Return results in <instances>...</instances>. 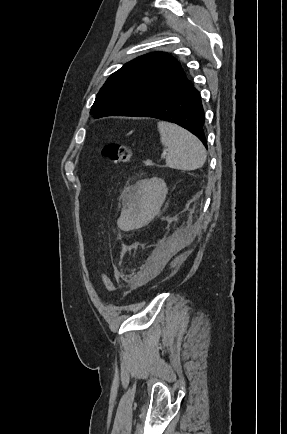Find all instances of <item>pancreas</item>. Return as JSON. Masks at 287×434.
Returning <instances> with one entry per match:
<instances>
[{
	"label": "pancreas",
	"mask_w": 287,
	"mask_h": 434,
	"mask_svg": "<svg viewBox=\"0 0 287 434\" xmlns=\"http://www.w3.org/2000/svg\"><path fill=\"white\" fill-rule=\"evenodd\" d=\"M144 163H145L146 165H153V163H152L151 160H146Z\"/></svg>",
	"instance_id": "cf45deb5"
}]
</instances>
